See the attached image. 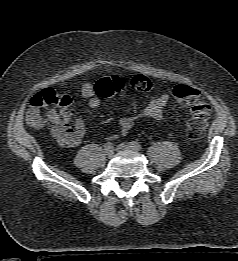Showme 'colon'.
<instances>
[{
	"instance_id": "colon-1",
	"label": "colon",
	"mask_w": 238,
	"mask_h": 261,
	"mask_svg": "<svg viewBox=\"0 0 238 261\" xmlns=\"http://www.w3.org/2000/svg\"><path fill=\"white\" fill-rule=\"evenodd\" d=\"M125 85L122 78L112 76L99 80L95 84V88L99 96L106 98L122 91ZM130 85L138 92H148L152 87L151 81L144 75L134 76ZM173 96L178 103L191 109L192 115L187 125L189 137L192 139L200 138L211 112L210 105L204 95L194 87L179 84L174 87ZM70 105L71 100L68 96L59 94L53 89H45L31 98L27 120L31 126L41 127L52 111L66 113L69 112ZM48 108L50 111L45 114L44 110Z\"/></svg>"
}]
</instances>
